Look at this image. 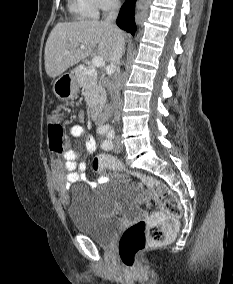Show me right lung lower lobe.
Returning a JSON list of instances; mask_svg holds the SVG:
<instances>
[{
    "label": "right lung lower lobe",
    "mask_w": 233,
    "mask_h": 284,
    "mask_svg": "<svg viewBox=\"0 0 233 284\" xmlns=\"http://www.w3.org/2000/svg\"><path fill=\"white\" fill-rule=\"evenodd\" d=\"M135 2L136 0H126L120 9L117 25L124 29L127 32H130L133 36L136 31V24L134 18V10H135Z\"/></svg>",
    "instance_id": "right-lung-lower-lobe-1"
}]
</instances>
